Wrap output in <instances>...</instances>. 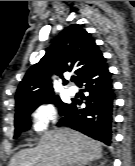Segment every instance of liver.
<instances>
[{"instance_id": "6515ba94", "label": "liver", "mask_w": 135, "mask_h": 166, "mask_svg": "<svg viewBox=\"0 0 135 166\" xmlns=\"http://www.w3.org/2000/svg\"><path fill=\"white\" fill-rule=\"evenodd\" d=\"M102 145L70 128L45 132L38 145L19 151L8 166H70L99 159Z\"/></svg>"}]
</instances>
